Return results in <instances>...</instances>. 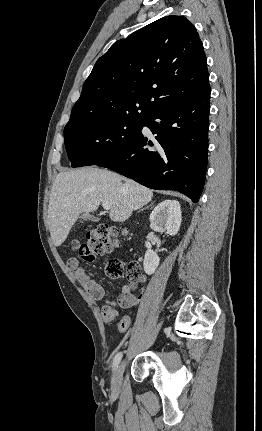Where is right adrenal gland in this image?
Masks as SVG:
<instances>
[{
	"instance_id": "2a0ac1e0",
	"label": "right adrenal gland",
	"mask_w": 262,
	"mask_h": 431,
	"mask_svg": "<svg viewBox=\"0 0 262 431\" xmlns=\"http://www.w3.org/2000/svg\"><path fill=\"white\" fill-rule=\"evenodd\" d=\"M152 204H153V202H152L149 206H151ZM149 206H147V207L143 208L142 210H145V209L149 208ZM139 212H140V211H139Z\"/></svg>"
}]
</instances>
